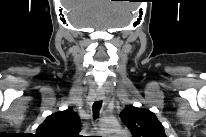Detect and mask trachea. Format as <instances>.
<instances>
[{"mask_svg": "<svg viewBox=\"0 0 206 137\" xmlns=\"http://www.w3.org/2000/svg\"><path fill=\"white\" fill-rule=\"evenodd\" d=\"M101 107H102V101H96V102H94L93 107H92L94 118H97V117H98L99 111H100Z\"/></svg>", "mask_w": 206, "mask_h": 137, "instance_id": "3493384b", "label": "trachea"}]
</instances>
